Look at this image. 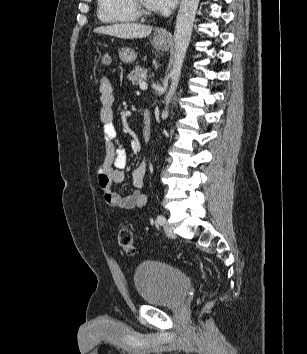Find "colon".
Masks as SVG:
<instances>
[{"label": "colon", "instance_id": "colon-1", "mask_svg": "<svg viewBox=\"0 0 307 354\" xmlns=\"http://www.w3.org/2000/svg\"><path fill=\"white\" fill-rule=\"evenodd\" d=\"M112 61V56L109 53H104L101 56L100 62L103 66H109ZM118 244L120 248L127 254V255H134L135 254V245L133 239V233L129 226L122 225L118 230Z\"/></svg>", "mask_w": 307, "mask_h": 354}]
</instances>
